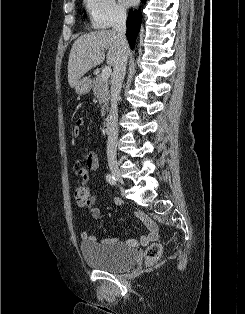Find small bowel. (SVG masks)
<instances>
[{
  "label": "small bowel",
  "instance_id": "obj_1",
  "mask_svg": "<svg viewBox=\"0 0 245 314\" xmlns=\"http://www.w3.org/2000/svg\"><path fill=\"white\" fill-rule=\"evenodd\" d=\"M83 125V120L82 119H77L75 126L73 128V134L78 135L80 127ZM99 166V159L98 156L95 152L93 151H88L83 156L77 161L76 163V170L79 178L83 182L89 181L92 176L95 174ZM96 201V196L92 195L90 203L88 204L89 207V213L94 220H99L101 219V211L99 208L95 207ZM119 200L116 201L117 204H119ZM136 217L140 219L146 229L147 233L145 235H142L139 240H134V239H129L127 243L131 246L135 245H142L146 246L149 243L156 241L159 237V232H158V227L157 225L151 221L147 215L142 212V211H137L135 213ZM81 238L84 242H89V243H95L97 241L96 236L91 235L87 231H83L81 233ZM103 242H117V238H108L105 239Z\"/></svg>",
  "mask_w": 245,
  "mask_h": 314
}]
</instances>
